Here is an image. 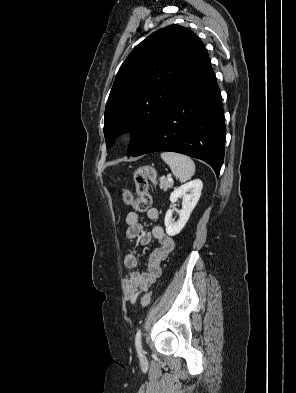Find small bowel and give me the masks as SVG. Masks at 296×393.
<instances>
[{
  "label": "small bowel",
  "mask_w": 296,
  "mask_h": 393,
  "mask_svg": "<svg viewBox=\"0 0 296 393\" xmlns=\"http://www.w3.org/2000/svg\"><path fill=\"white\" fill-rule=\"evenodd\" d=\"M147 217L150 220H156L159 217V212L156 208H150L147 211ZM126 238L133 240L140 238L142 245L147 246L153 240H157L160 244L155 248L147 261V271L140 272L136 268L139 264V258L136 253H128L124 257V265L129 270L127 278L124 280L123 286L125 290L126 299L134 304L138 296L148 291L154 284L156 279L161 275L162 262L166 259L168 254L174 248V240L167 235L161 226H154L151 231L146 232L140 223L139 214L135 211H130L126 216Z\"/></svg>",
  "instance_id": "c3829d8e"
}]
</instances>
